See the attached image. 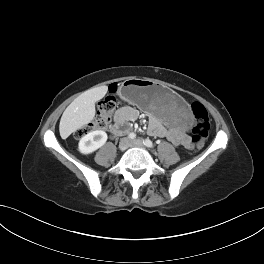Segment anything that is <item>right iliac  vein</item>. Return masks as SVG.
<instances>
[{
	"label": "right iliac vein",
	"instance_id": "63e3f726",
	"mask_svg": "<svg viewBox=\"0 0 264 264\" xmlns=\"http://www.w3.org/2000/svg\"><path fill=\"white\" fill-rule=\"evenodd\" d=\"M129 146V140L127 138H123L120 143H119V149L121 151H124L128 148Z\"/></svg>",
	"mask_w": 264,
	"mask_h": 264
}]
</instances>
